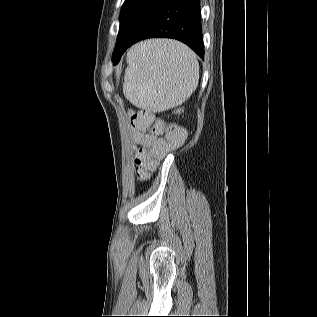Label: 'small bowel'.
<instances>
[{"label":"small bowel","instance_id":"obj_1","mask_svg":"<svg viewBox=\"0 0 317 317\" xmlns=\"http://www.w3.org/2000/svg\"><path fill=\"white\" fill-rule=\"evenodd\" d=\"M133 115V113H132ZM134 139L137 145V153L148 150L156 141V137L151 134H145L133 126Z\"/></svg>","mask_w":317,"mask_h":317}]
</instances>
